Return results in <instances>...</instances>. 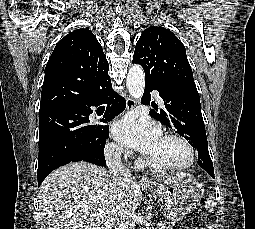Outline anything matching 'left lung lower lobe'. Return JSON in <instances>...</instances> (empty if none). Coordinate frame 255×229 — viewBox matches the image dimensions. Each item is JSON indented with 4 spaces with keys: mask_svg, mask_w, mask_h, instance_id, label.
Returning a JSON list of instances; mask_svg holds the SVG:
<instances>
[{
    "mask_svg": "<svg viewBox=\"0 0 255 229\" xmlns=\"http://www.w3.org/2000/svg\"><path fill=\"white\" fill-rule=\"evenodd\" d=\"M152 90L159 91L165 104L167 116L161 117L158 110H151L149 113L151 117L179 133L192 134L198 138L206 137L199 95L184 92L174 86L145 81L143 104H149ZM197 150L199 153L198 165L214 178V168L208 146L201 145Z\"/></svg>",
    "mask_w": 255,
    "mask_h": 229,
    "instance_id": "1",
    "label": "left lung lower lobe"
}]
</instances>
